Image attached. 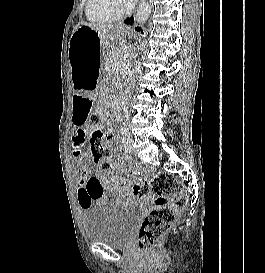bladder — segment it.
I'll use <instances>...</instances> for the list:
<instances>
[{"label": "bladder", "mask_w": 265, "mask_h": 273, "mask_svg": "<svg viewBox=\"0 0 265 273\" xmlns=\"http://www.w3.org/2000/svg\"><path fill=\"white\" fill-rule=\"evenodd\" d=\"M138 218V208L133 205H93L83 211L82 226L87 240L120 248L130 241Z\"/></svg>", "instance_id": "bladder-1"}]
</instances>
